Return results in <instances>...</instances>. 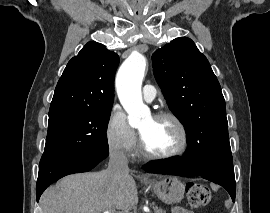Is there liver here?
Masks as SVG:
<instances>
[{
    "mask_svg": "<svg viewBox=\"0 0 270 213\" xmlns=\"http://www.w3.org/2000/svg\"><path fill=\"white\" fill-rule=\"evenodd\" d=\"M137 203L133 177H114L107 170L66 176L41 197L43 213H102Z\"/></svg>",
    "mask_w": 270,
    "mask_h": 213,
    "instance_id": "6515ba94",
    "label": "liver"
}]
</instances>
